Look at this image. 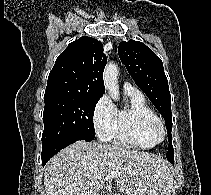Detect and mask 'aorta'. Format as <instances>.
<instances>
[{
	"label": "aorta",
	"mask_w": 211,
	"mask_h": 195,
	"mask_svg": "<svg viewBox=\"0 0 211 195\" xmlns=\"http://www.w3.org/2000/svg\"><path fill=\"white\" fill-rule=\"evenodd\" d=\"M118 66L109 62L104 70V86L108 91L111 98L115 101L119 100V87H118Z\"/></svg>",
	"instance_id": "1"
}]
</instances>
